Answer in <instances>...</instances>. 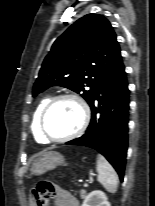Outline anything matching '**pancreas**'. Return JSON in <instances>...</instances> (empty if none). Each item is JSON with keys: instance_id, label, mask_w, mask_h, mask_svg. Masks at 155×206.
<instances>
[{"instance_id": "cf45deb5", "label": "pancreas", "mask_w": 155, "mask_h": 206, "mask_svg": "<svg viewBox=\"0 0 155 206\" xmlns=\"http://www.w3.org/2000/svg\"><path fill=\"white\" fill-rule=\"evenodd\" d=\"M80 197H81L82 199H84V198L86 197V190H84V189H81V190H80Z\"/></svg>"}]
</instances>
